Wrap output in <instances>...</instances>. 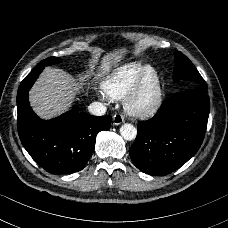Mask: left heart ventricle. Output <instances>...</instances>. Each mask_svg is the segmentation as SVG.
Here are the masks:
<instances>
[{
    "instance_id": "1",
    "label": "left heart ventricle",
    "mask_w": 228,
    "mask_h": 228,
    "mask_svg": "<svg viewBox=\"0 0 228 228\" xmlns=\"http://www.w3.org/2000/svg\"><path fill=\"white\" fill-rule=\"evenodd\" d=\"M152 96H153V87H152V83H149L145 90V98L151 99Z\"/></svg>"
}]
</instances>
